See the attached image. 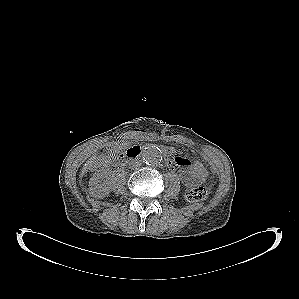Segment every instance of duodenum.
<instances>
[{
	"mask_svg": "<svg viewBox=\"0 0 299 299\" xmlns=\"http://www.w3.org/2000/svg\"><path fill=\"white\" fill-rule=\"evenodd\" d=\"M141 152H142V149L138 145H135V146L129 148L125 153H123L120 156V158L118 159V164L124 165L127 162L138 158L140 156ZM165 157H166L167 163L171 164V159L169 158V155L167 154V152H165Z\"/></svg>",
	"mask_w": 299,
	"mask_h": 299,
	"instance_id": "obj_1",
	"label": "duodenum"
}]
</instances>
